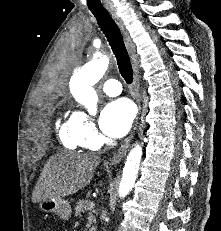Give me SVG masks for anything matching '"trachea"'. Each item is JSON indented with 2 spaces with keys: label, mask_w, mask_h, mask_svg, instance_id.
Returning <instances> with one entry per match:
<instances>
[{
  "label": "trachea",
  "mask_w": 221,
  "mask_h": 231,
  "mask_svg": "<svg viewBox=\"0 0 221 231\" xmlns=\"http://www.w3.org/2000/svg\"><path fill=\"white\" fill-rule=\"evenodd\" d=\"M96 17L98 25L105 34L111 49L117 59L118 68L124 80L130 84L133 81V69L126 50L121 32L108 11H91Z\"/></svg>",
  "instance_id": "trachea-1"
}]
</instances>
